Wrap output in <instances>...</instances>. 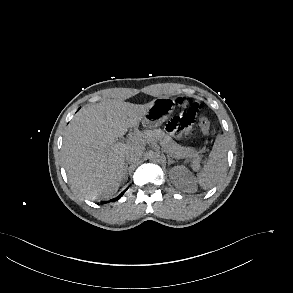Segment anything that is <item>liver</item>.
<instances>
[{"mask_svg": "<svg viewBox=\"0 0 293 293\" xmlns=\"http://www.w3.org/2000/svg\"><path fill=\"white\" fill-rule=\"evenodd\" d=\"M107 99L82 108L69 123L62 146V157L72 188L88 199L109 198L123 179L125 154L145 142L123 144L117 139L128 128L139 126L151 107Z\"/></svg>", "mask_w": 293, "mask_h": 293, "instance_id": "1", "label": "liver"}]
</instances>
